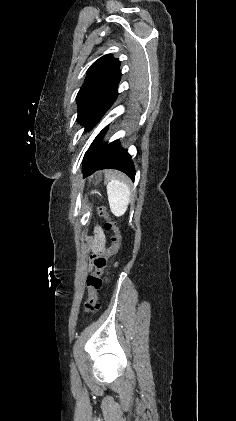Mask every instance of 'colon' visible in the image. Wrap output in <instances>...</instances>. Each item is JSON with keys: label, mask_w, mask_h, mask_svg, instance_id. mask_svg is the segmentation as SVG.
I'll return each instance as SVG.
<instances>
[{"label": "colon", "mask_w": 236, "mask_h": 421, "mask_svg": "<svg viewBox=\"0 0 236 421\" xmlns=\"http://www.w3.org/2000/svg\"><path fill=\"white\" fill-rule=\"evenodd\" d=\"M97 211L99 215L105 218V229L107 231H112L114 236L112 238V245L109 248L100 251L91 258L90 273L86 280L89 293L88 298L84 303V311L86 313H91L99 309L100 306L97 300V291L102 285V275L107 266L108 258L117 253L122 241L120 230L115 222L110 218L105 207L100 206L97 208Z\"/></svg>", "instance_id": "5ec220e1"}]
</instances>
